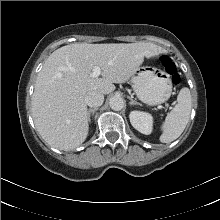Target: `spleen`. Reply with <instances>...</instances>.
<instances>
[{"mask_svg": "<svg viewBox=\"0 0 220 220\" xmlns=\"http://www.w3.org/2000/svg\"><path fill=\"white\" fill-rule=\"evenodd\" d=\"M192 98L189 88L184 87L177 96V104L173 110L167 114L161 129L160 141L170 143L176 140L186 128L190 118Z\"/></svg>", "mask_w": 220, "mask_h": 220, "instance_id": "obj_1", "label": "spleen"}]
</instances>
